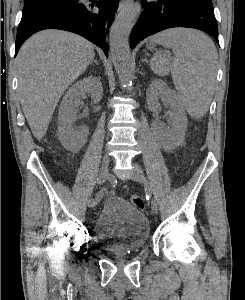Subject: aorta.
<instances>
[{
	"mask_svg": "<svg viewBox=\"0 0 245 300\" xmlns=\"http://www.w3.org/2000/svg\"><path fill=\"white\" fill-rule=\"evenodd\" d=\"M141 12L140 4L127 5L116 17L110 31V52L120 81L131 89L132 65L129 35Z\"/></svg>",
	"mask_w": 245,
	"mask_h": 300,
	"instance_id": "obj_1",
	"label": "aorta"
}]
</instances>
